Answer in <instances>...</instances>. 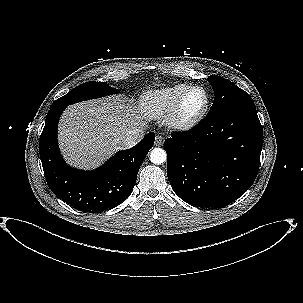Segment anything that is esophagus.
<instances>
[{
    "label": "esophagus",
    "instance_id": "34e87169",
    "mask_svg": "<svg viewBox=\"0 0 303 303\" xmlns=\"http://www.w3.org/2000/svg\"><path fill=\"white\" fill-rule=\"evenodd\" d=\"M164 144V137L157 135L155 138V145L156 146H162Z\"/></svg>",
    "mask_w": 303,
    "mask_h": 303
}]
</instances>
